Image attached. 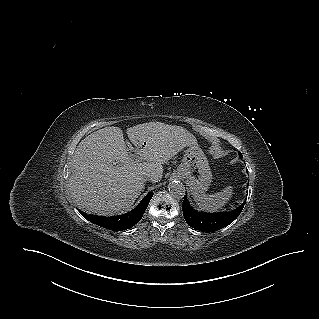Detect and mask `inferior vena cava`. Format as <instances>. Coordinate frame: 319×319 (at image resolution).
<instances>
[{"label": "inferior vena cava", "mask_w": 319, "mask_h": 319, "mask_svg": "<svg viewBox=\"0 0 319 319\" xmlns=\"http://www.w3.org/2000/svg\"><path fill=\"white\" fill-rule=\"evenodd\" d=\"M153 176L151 174H146L143 176V180L147 181V180H152Z\"/></svg>", "instance_id": "inferior-vena-cava-1"}]
</instances>
